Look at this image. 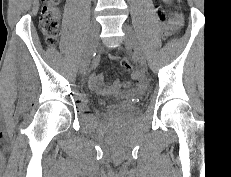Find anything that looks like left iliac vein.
I'll list each match as a JSON object with an SVG mask.
<instances>
[{
	"mask_svg": "<svg viewBox=\"0 0 231 177\" xmlns=\"http://www.w3.org/2000/svg\"><path fill=\"white\" fill-rule=\"evenodd\" d=\"M123 31L125 32V44L134 51L138 62L143 66L145 64V55L136 34L131 26L126 23L123 25Z\"/></svg>",
	"mask_w": 231,
	"mask_h": 177,
	"instance_id": "1",
	"label": "left iliac vein"
}]
</instances>
